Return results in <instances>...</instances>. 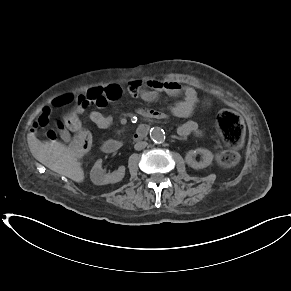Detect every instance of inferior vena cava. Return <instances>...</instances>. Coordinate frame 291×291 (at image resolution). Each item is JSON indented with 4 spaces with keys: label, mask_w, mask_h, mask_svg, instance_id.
Listing matches in <instances>:
<instances>
[{
    "label": "inferior vena cava",
    "mask_w": 291,
    "mask_h": 291,
    "mask_svg": "<svg viewBox=\"0 0 291 291\" xmlns=\"http://www.w3.org/2000/svg\"><path fill=\"white\" fill-rule=\"evenodd\" d=\"M147 142H145V141H138L135 145H134V148H135V150H142V149H144L146 146H147Z\"/></svg>",
    "instance_id": "inferior-vena-cava-1"
}]
</instances>
